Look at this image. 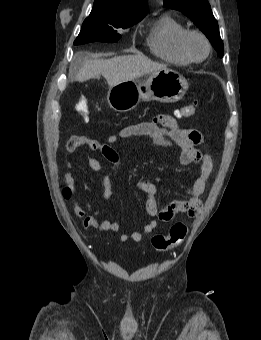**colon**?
I'll return each instance as SVG.
<instances>
[{
    "label": "colon",
    "instance_id": "1",
    "mask_svg": "<svg viewBox=\"0 0 261 340\" xmlns=\"http://www.w3.org/2000/svg\"><path fill=\"white\" fill-rule=\"evenodd\" d=\"M77 111L85 120L89 117V105L86 100H80L77 104ZM196 102L192 105L184 106L176 111L178 117H190L195 114ZM64 195L68 197L70 192L64 191ZM187 235V228L181 223L172 225L166 234H156L151 238V244L155 250L165 252L173 249L181 244Z\"/></svg>",
    "mask_w": 261,
    "mask_h": 340
}]
</instances>
